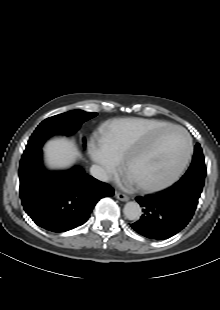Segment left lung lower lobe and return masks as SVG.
I'll return each mask as SVG.
<instances>
[{
  "label": "left lung lower lobe",
  "instance_id": "obj_1",
  "mask_svg": "<svg viewBox=\"0 0 220 310\" xmlns=\"http://www.w3.org/2000/svg\"><path fill=\"white\" fill-rule=\"evenodd\" d=\"M203 186L175 183L172 187L136 200L143 214L131 224L139 234L150 239H167L181 231L191 220Z\"/></svg>",
  "mask_w": 220,
  "mask_h": 310
}]
</instances>
